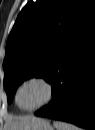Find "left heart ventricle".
I'll use <instances>...</instances> for the list:
<instances>
[{"instance_id":"left-heart-ventricle-1","label":"left heart ventricle","mask_w":95,"mask_h":130,"mask_svg":"<svg viewBox=\"0 0 95 130\" xmlns=\"http://www.w3.org/2000/svg\"><path fill=\"white\" fill-rule=\"evenodd\" d=\"M45 97V87L38 82H32L26 84L20 90L18 95V103L22 108L30 109L39 105Z\"/></svg>"}]
</instances>
